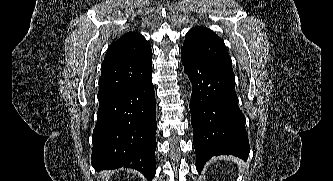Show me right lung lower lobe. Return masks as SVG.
<instances>
[{"label":"right lung lower lobe","instance_id":"1","mask_svg":"<svg viewBox=\"0 0 333 181\" xmlns=\"http://www.w3.org/2000/svg\"><path fill=\"white\" fill-rule=\"evenodd\" d=\"M156 127L151 75L99 101L92 166L95 170L133 168L151 181L156 172Z\"/></svg>","mask_w":333,"mask_h":181}]
</instances>
